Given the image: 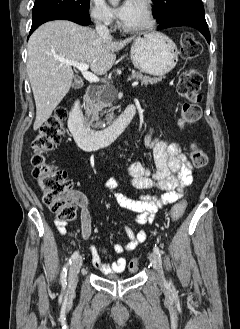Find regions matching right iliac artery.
Segmentation results:
<instances>
[{
  "instance_id": "1",
  "label": "right iliac artery",
  "mask_w": 240,
  "mask_h": 329,
  "mask_svg": "<svg viewBox=\"0 0 240 329\" xmlns=\"http://www.w3.org/2000/svg\"><path fill=\"white\" fill-rule=\"evenodd\" d=\"M78 256H79V252L75 251L72 254L71 258L69 259V262L62 269L60 281L63 287H66L67 285L66 276H67L68 265L71 264Z\"/></svg>"
}]
</instances>
